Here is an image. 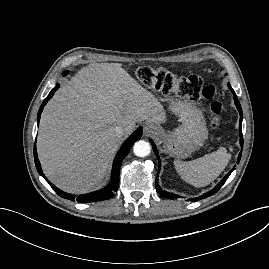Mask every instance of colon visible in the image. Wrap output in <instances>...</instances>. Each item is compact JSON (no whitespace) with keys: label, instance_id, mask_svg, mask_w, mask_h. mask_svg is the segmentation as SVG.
Returning <instances> with one entry per match:
<instances>
[{"label":"colon","instance_id":"5ec220e1","mask_svg":"<svg viewBox=\"0 0 269 269\" xmlns=\"http://www.w3.org/2000/svg\"><path fill=\"white\" fill-rule=\"evenodd\" d=\"M139 81L149 88L165 92H176L182 97L192 100L205 98L211 100V126L218 127L223 119L224 109L218 100V87L214 83L205 84L196 75L177 77L162 68L140 67L137 70Z\"/></svg>","mask_w":269,"mask_h":269}]
</instances>
